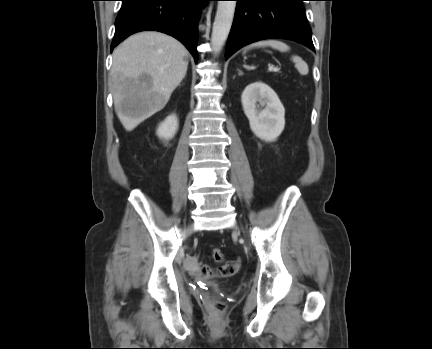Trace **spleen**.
<instances>
[{
    "label": "spleen",
    "mask_w": 432,
    "mask_h": 349,
    "mask_svg": "<svg viewBox=\"0 0 432 349\" xmlns=\"http://www.w3.org/2000/svg\"><path fill=\"white\" fill-rule=\"evenodd\" d=\"M266 46L272 47V48L277 49L281 52H286L290 49V47L287 44H285L282 41L275 40V39L261 40V41L255 42V43L249 45L246 49H251L254 47H266ZM291 59L295 63V67L301 75H307L308 74V72H309L308 65L306 64L305 61L302 60L301 57L294 55V56H292Z\"/></svg>",
    "instance_id": "3e777b00"
}]
</instances>
